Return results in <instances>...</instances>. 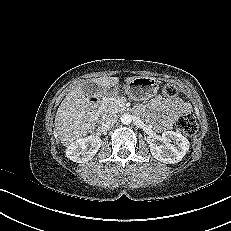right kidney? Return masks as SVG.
Wrapping results in <instances>:
<instances>
[{
  "instance_id": "obj_1",
  "label": "right kidney",
  "mask_w": 231,
  "mask_h": 231,
  "mask_svg": "<svg viewBox=\"0 0 231 231\" xmlns=\"http://www.w3.org/2000/svg\"><path fill=\"white\" fill-rule=\"evenodd\" d=\"M100 146L99 136L91 135L80 138L67 147L66 156L73 162L86 163L95 156Z\"/></svg>"
}]
</instances>
